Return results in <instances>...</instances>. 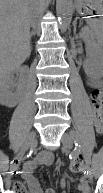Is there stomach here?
<instances>
[{
	"label": "stomach",
	"mask_w": 103,
	"mask_h": 193,
	"mask_svg": "<svg viewBox=\"0 0 103 193\" xmlns=\"http://www.w3.org/2000/svg\"><path fill=\"white\" fill-rule=\"evenodd\" d=\"M103 0H76V9L80 14L101 13Z\"/></svg>",
	"instance_id": "obj_1"
}]
</instances>
